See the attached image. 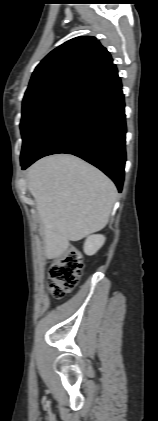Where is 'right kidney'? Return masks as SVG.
Wrapping results in <instances>:
<instances>
[{"label": "right kidney", "instance_id": "obj_1", "mask_svg": "<svg viewBox=\"0 0 158 421\" xmlns=\"http://www.w3.org/2000/svg\"><path fill=\"white\" fill-rule=\"evenodd\" d=\"M105 237L103 235H91L84 243V253L86 255H94L104 244Z\"/></svg>", "mask_w": 158, "mask_h": 421}]
</instances>
